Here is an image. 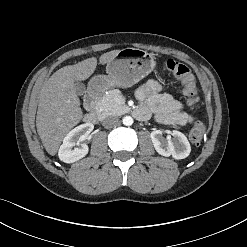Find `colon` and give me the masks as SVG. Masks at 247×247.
Instances as JSON below:
<instances>
[{
  "mask_svg": "<svg viewBox=\"0 0 247 247\" xmlns=\"http://www.w3.org/2000/svg\"><path fill=\"white\" fill-rule=\"evenodd\" d=\"M167 68L172 72L181 82L186 101L190 108L195 109L198 106V90L194 75L188 66L177 62L173 59L167 61ZM205 133V125L197 121L194 123L189 138L193 143H199Z\"/></svg>",
  "mask_w": 247,
  "mask_h": 247,
  "instance_id": "1",
  "label": "colon"
}]
</instances>
